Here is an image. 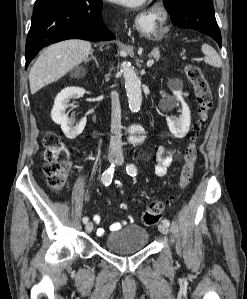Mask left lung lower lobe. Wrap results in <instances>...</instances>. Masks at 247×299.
I'll return each mask as SVG.
<instances>
[{
    "instance_id": "left-lung-lower-lobe-1",
    "label": "left lung lower lobe",
    "mask_w": 247,
    "mask_h": 299,
    "mask_svg": "<svg viewBox=\"0 0 247 299\" xmlns=\"http://www.w3.org/2000/svg\"><path fill=\"white\" fill-rule=\"evenodd\" d=\"M174 26L200 31L213 38L221 47L212 0H175L165 5Z\"/></svg>"
}]
</instances>
